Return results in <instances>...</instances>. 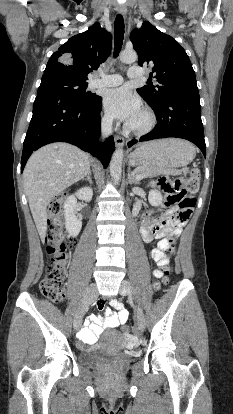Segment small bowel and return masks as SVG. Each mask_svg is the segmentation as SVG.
Segmentation results:
<instances>
[{"instance_id": "small-bowel-1", "label": "small bowel", "mask_w": 233, "mask_h": 414, "mask_svg": "<svg viewBox=\"0 0 233 414\" xmlns=\"http://www.w3.org/2000/svg\"><path fill=\"white\" fill-rule=\"evenodd\" d=\"M185 220L178 219L174 215V210L167 211L160 219L152 220L146 216L140 227V233L143 241L149 243L158 239V246L151 252V256L157 263L156 269L153 271L155 278L163 275V269L168 265L169 259L165 254L168 246V237L180 234ZM158 252L157 257L154 253ZM93 308L101 311L99 316H91L86 321V326L79 332V339L83 344L92 345L96 337L106 328H117L125 324L128 320L129 313L124 305L117 299H111L110 305L114 309L106 308V300L100 298L92 302Z\"/></svg>"}]
</instances>
